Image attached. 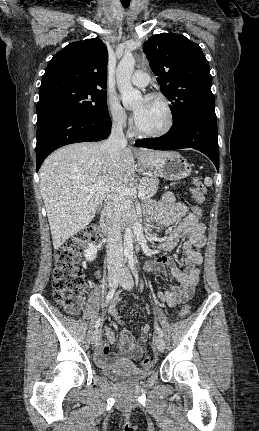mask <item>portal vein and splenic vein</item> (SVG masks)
Wrapping results in <instances>:
<instances>
[{"label":"portal vein and splenic vein","mask_w":259,"mask_h":431,"mask_svg":"<svg viewBox=\"0 0 259 431\" xmlns=\"http://www.w3.org/2000/svg\"><path fill=\"white\" fill-rule=\"evenodd\" d=\"M99 190H103V187L99 184L91 185V186H88V187L83 189L84 192H88V193H95ZM111 191L117 192L123 196H129V197H134V198H136V197L145 198V196H146L145 192L142 190L137 191L135 188H129V187H125V186H119L116 188H112Z\"/></svg>","instance_id":"18ae733b"}]
</instances>
